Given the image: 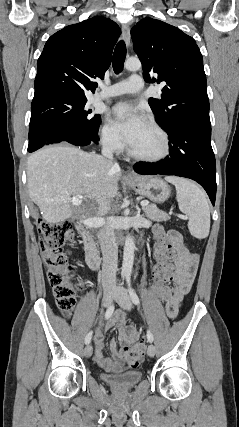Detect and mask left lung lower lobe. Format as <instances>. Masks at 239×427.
I'll list each match as a JSON object with an SVG mask.
<instances>
[{
	"label": "left lung lower lobe",
	"instance_id": "left-lung-lower-lobe-1",
	"mask_svg": "<svg viewBox=\"0 0 239 427\" xmlns=\"http://www.w3.org/2000/svg\"><path fill=\"white\" fill-rule=\"evenodd\" d=\"M170 154L156 163L138 162L137 173L176 175L198 182L215 205L216 163L211 147V124L199 121L178 122L166 130Z\"/></svg>",
	"mask_w": 239,
	"mask_h": 427
}]
</instances>
